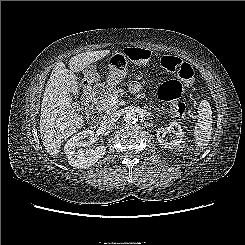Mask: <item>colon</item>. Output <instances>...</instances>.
<instances>
[{"instance_id":"obj_1","label":"colon","mask_w":245,"mask_h":245,"mask_svg":"<svg viewBox=\"0 0 245 245\" xmlns=\"http://www.w3.org/2000/svg\"><path fill=\"white\" fill-rule=\"evenodd\" d=\"M127 56L134 61L147 62L150 58V51L146 49H127ZM161 66L169 72L174 73L178 80L164 82L158 91L162 102L170 104L171 109L180 116L186 113V104L180 99L183 91V84L190 87L193 84L194 71L190 64L178 57L164 55L160 59Z\"/></svg>"}]
</instances>
